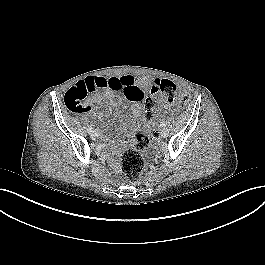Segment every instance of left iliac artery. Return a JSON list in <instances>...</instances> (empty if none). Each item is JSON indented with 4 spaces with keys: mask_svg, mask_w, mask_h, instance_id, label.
<instances>
[{
    "mask_svg": "<svg viewBox=\"0 0 265 265\" xmlns=\"http://www.w3.org/2000/svg\"><path fill=\"white\" fill-rule=\"evenodd\" d=\"M161 127H163V128H165L166 127V122L165 121H163V122H161Z\"/></svg>",
    "mask_w": 265,
    "mask_h": 265,
    "instance_id": "1",
    "label": "left iliac artery"
}]
</instances>
